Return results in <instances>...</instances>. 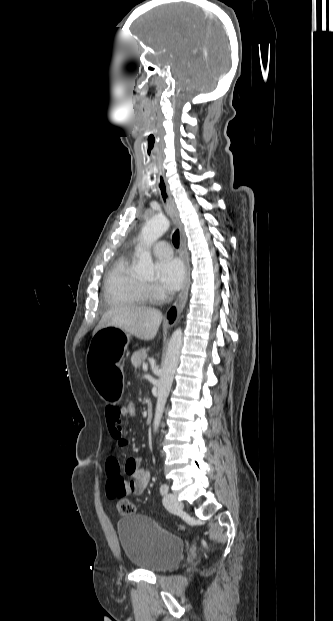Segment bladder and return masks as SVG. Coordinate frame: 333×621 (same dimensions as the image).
I'll return each instance as SVG.
<instances>
[{
  "label": "bladder",
  "mask_w": 333,
  "mask_h": 621,
  "mask_svg": "<svg viewBox=\"0 0 333 621\" xmlns=\"http://www.w3.org/2000/svg\"><path fill=\"white\" fill-rule=\"evenodd\" d=\"M117 534L127 560L138 569L163 572L183 558V540L147 516L129 515L119 519Z\"/></svg>",
  "instance_id": "bladder-1"
}]
</instances>
